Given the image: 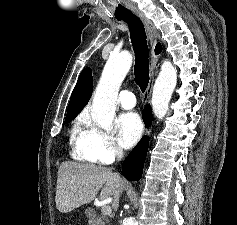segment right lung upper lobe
Wrapping results in <instances>:
<instances>
[{"mask_svg": "<svg viewBox=\"0 0 237 225\" xmlns=\"http://www.w3.org/2000/svg\"><path fill=\"white\" fill-rule=\"evenodd\" d=\"M162 50L161 45L158 43L155 48L156 53ZM92 94V71L90 68H85L81 72L77 84L71 94L67 115L78 114L84 106L88 103Z\"/></svg>", "mask_w": 237, "mask_h": 225, "instance_id": "cb5924a9", "label": "right lung upper lobe"}]
</instances>
